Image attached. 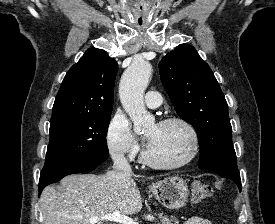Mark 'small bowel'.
Segmentation results:
<instances>
[{
    "mask_svg": "<svg viewBox=\"0 0 275 224\" xmlns=\"http://www.w3.org/2000/svg\"><path fill=\"white\" fill-rule=\"evenodd\" d=\"M183 224H212L208 219L201 217H190Z\"/></svg>",
    "mask_w": 275,
    "mask_h": 224,
    "instance_id": "c3829d8e",
    "label": "small bowel"
}]
</instances>
